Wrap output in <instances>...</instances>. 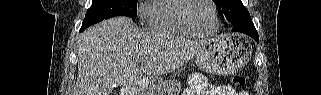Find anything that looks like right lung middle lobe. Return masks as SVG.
<instances>
[{"label":"right lung middle lobe","instance_id":"1","mask_svg":"<svg viewBox=\"0 0 321 95\" xmlns=\"http://www.w3.org/2000/svg\"><path fill=\"white\" fill-rule=\"evenodd\" d=\"M137 15V0H92L80 31L104 19L115 16L134 18Z\"/></svg>","mask_w":321,"mask_h":95}]
</instances>
